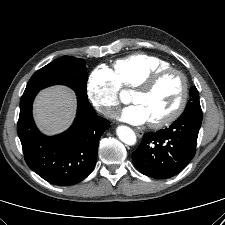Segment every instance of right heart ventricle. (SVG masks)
<instances>
[{"mask_svg": "<svg viewBox=\"0 0 225 225\" xmlns=\"http://www.w3.org/2000/svg\"><path fill=\"white\" fill-rule=\"evenodd\" d=\"M170 64L158 57L133 53L114 63V75L121 87L135 88L151 74L169 68Z\"/></svg>", "mask_w": 225, "mask_h": 225, "instance_id": "right-heart-ventricle-1", "label": "right heart ventricle"}]
</instances>
